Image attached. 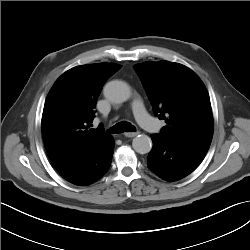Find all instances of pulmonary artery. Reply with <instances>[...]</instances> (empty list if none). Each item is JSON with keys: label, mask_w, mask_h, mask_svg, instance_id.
Here are the masks:
<instances>
[{"label": "pulmonary artery", "mask_w": 250, "mask_h": 250, "mask_svg": "<svg viewBox=\"0 0 250 250\" xmlns=\"http://www.w3.org/2000/svg\"><path fill=\"white\" fill-rule=\"evenodd\" d=\"M132 111L137 122L143 128L153 131L155 129V120L147 113L141 100H135L132 103Z\"/></svg>", "instance_id": "pulmonary-artery-1"}]
</instances>
